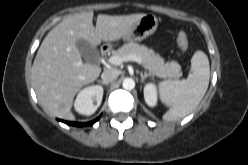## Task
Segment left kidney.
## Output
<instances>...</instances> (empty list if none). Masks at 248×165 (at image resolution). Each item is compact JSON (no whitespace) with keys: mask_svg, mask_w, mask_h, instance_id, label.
Segmentation results:
<instances>
[{"mask_svg":"<svg viewBox=\"0 0 248 165\" xmlns=\"http://www.w3.org/2000/svg\"><path fill=\"white\" fill-rule=\"evenodd\" d=\"M144 99L148 106L157 105V88L154 83H147L144 87Z\"/></svg>","mask_w":248,"mask_h":165,"instance_id":"5707ae66","label":"left kidney"}]
</instances>
